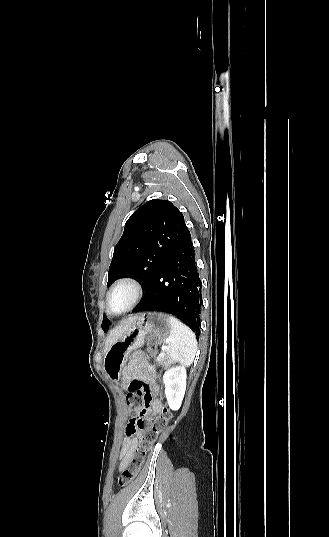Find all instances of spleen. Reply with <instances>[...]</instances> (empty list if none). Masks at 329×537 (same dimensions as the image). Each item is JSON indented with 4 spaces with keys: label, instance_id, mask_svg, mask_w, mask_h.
Instances as JSON below:
<instances>
[{
    "label": "spleen",
    "instance_id": "spleen-1",
    "mask_svg": "<svg viewBox=\"0 0 329 537\" xmlns=\"http://www.w3.org/2000/svg\"><path fill=\"white\" fill-rule=\"evenodd\" d=\"M168 353L173 361L191 365L197 351V341L192 330L176 317H170Z\"/></svg>",
    "mask_w": 329,
    "mask_h": 537
}]
</instances>
